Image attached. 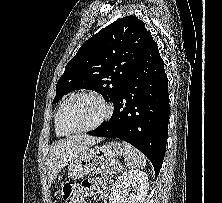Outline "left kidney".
<instances>
[{
	"mask_svg": "<svg viewBox=\"0 0 222 203\" xmlns=\"http://www.w3.org/2000/svg\"><path fill=\"white\" fill-rule=\"evenodd\" d=\"M148 189V175L139 170H130L113 184L109 203H143Z\"/></svg>",
	"mask_w": 222,
	"mask_h": 203,
	"instance_id": "5707ae66",
	"label": "left kidney"
}]
</instances>
